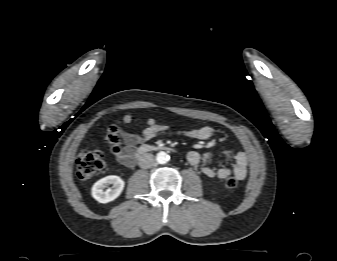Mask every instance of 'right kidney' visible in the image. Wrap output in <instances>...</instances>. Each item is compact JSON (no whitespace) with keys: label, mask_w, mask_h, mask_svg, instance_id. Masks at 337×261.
<instances>
[{"label":"right kidney","mask_w":337,"mask_h":261,"mask_svg":"<svg viewBox=\"0 0 337 261\" xmlns=\"http://www.w3.org/2000/svg\"><path fill=\"white\" fill-rule=\"evenodd\" d=\"M112 184V188L104 190L105 187ZM125 182L115 175L106 176L98 180L92 187V196L100 203H108L115 200L123 191Z\"/></svg>","instance_id":"right-kidney-1"}]
</instances>
